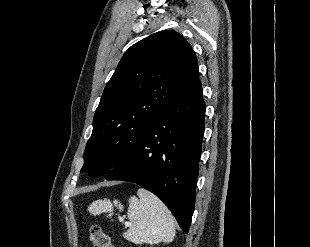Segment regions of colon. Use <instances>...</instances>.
Segmentation results:
<instances>
[{"mask_svg": "<svg viewBox=\"0 0 310 247\" xmlns=\"http://www.w3.org/2000/svg\"><path fill=\"white\" fill-rule=\"evenodd\" d=\"M90 241L93 247H113L110 238L99 225L91 226Z\"/></svg>", "mask_w": 310, "mask_h": 247, "instance_id": "colon-1", "label": "colon"}]
</instances>
